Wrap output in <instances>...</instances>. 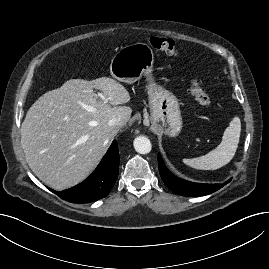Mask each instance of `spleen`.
I'll use <instances>...</instances> for the list:
<instances>
[{
	"label": "spleen",
	"instance_id": "spleen-1",
	"mask_svg": "<svg viewBox=\"0 0 269 269\" xmlns=\"http://www.w3.org/2000/svg\"><path fill=\"white\" fill-rule=\"evenodd\" d=\"M241 132V122L234 117L225 129L221 143L204 156L183 159V162L195 169L217 170L228 164L234 157L238 148Z\"/></svg>",
	"mask_w": 269,
	"mask_h": 269
}]
</instances>
